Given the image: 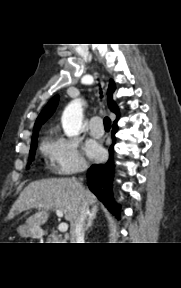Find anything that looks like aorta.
Here are the masks:
<instances>
[{
    "label": "aorta",
    "instance_id": "obj_1",
    "mask_svg": "<svg viewBox=\"0 0 181 288\" xmlns=\"http://www.w3.org/2000/svg\"><path fill=\"white\" fill-rule=\"evenodd\" d=\"M83 119V109L80 99L73 100L64 110L61 118L64 133L68 137L79 135Z\"/></svg>",
    "mask_w": 181,
    "mask_h": 288
}]
</instances>
